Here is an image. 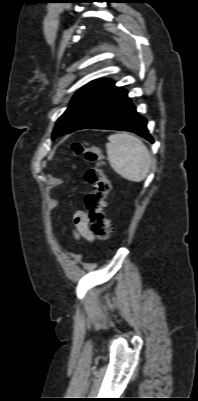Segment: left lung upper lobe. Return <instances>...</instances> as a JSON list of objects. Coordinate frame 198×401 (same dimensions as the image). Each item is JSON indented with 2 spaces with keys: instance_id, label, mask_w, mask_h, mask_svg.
<instances>
[{
  "instance_id": "obj_1",
  "label": "left lung upper lobe",
  "mask_w": 198,
  "mask_h": 401,
  "mask_svg": "<svg viewBox=\"0 0 198 401\" xmlns=\"http://www.w3.org/2000/svg\"><path fill=\"white\" fill-rule=\"evenodd\" d=\"M110 82L111 80L109 79L95 80L81 88L74 95L67 110L58 119L52 134V139L62 132L67 131L92 100L95 99Z\"/></svg>"
}]
</instances>
